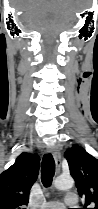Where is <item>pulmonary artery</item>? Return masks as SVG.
Listing matches in <instances>:
<instances>
[{"label":"pulmonary artery","mask_w":98,"mask_h":209,"mask_svg":"<svg viewBox=\"0 0 98 209\" xmlns=\"http://www.w3.org/2000/svg\"><path fill=\"white\" fill-rule=\"evenodd\" d=\"M78 203V197L74 192H68L63 202H48L43 209H65L66 206L74 207Z\"/></svg>","instance_id":"obj_1"}]
</instances>
